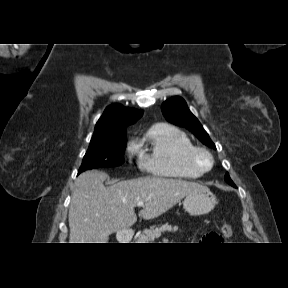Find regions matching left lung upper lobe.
I'll return each instance as SVG.
<instances>
[{"label": "left lung upper lobe", "instance_id": "1", "mask_svg": "<svg viewBox=\"0 0 288 288\" xmlns=\"http://www.w3.org/2000/svg\"><path fill=\"white\" fill-rule=\"evenodd\" d=\"M161 109L163 115L170 123L187 128L203 144L216 149L207 132L203 129L198 119L190 112L186 102L182 98L172 97L168 99L162 104ZM225 181L228 184L233 183L228 174L225 175Z\"/></svg>", "mask_w": 288, "mask_h": 288}]
</instances>
